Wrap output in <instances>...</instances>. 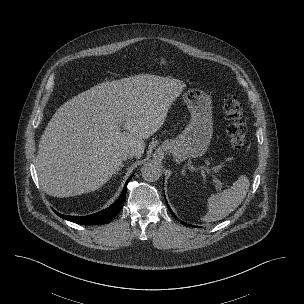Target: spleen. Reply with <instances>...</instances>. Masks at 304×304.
Masks as SVG:
<instances>
[{
	"label": "spleen",
	"instance_id": "1",
	"mask_svg": "<svg viewBox=\"0 0 304 304\" xmlns=\"http://www.w3.org/2000/svg\"><path fill=\"white\" fill-rule=\"evenodd\" d=\"M250 183L245 175L233 183V186L208 199V212L203 217L207 222L221 220L234 211L246 197Z\"/></svg>",
	"mask_w": 304,
	"mask_h": 304
}]
</instances>
